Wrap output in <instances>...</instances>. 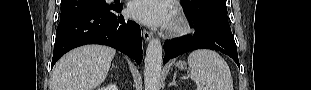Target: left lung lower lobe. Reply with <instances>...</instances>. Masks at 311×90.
I'll return each mask as SVG.
<instances>
[{
    "label": "left lung lower lobe",
    "mask_w": 311,
    "mask_h": 90,
    "mask_svg": "<svg viewBox=\"0 0 311 90\" xmlns=\"http://www.w3.org/2000/svg\"><path fill=\"white\" fill-rule=\"evenodd\" d=\"M202 48L221 51L230 56L239 66L236 44L231 30L214 24L195 26L194 35L188 39L166 41L164 43L165 57L163 63L185 52Z\"/></svg>",
    "instance_id": "1"
}]
</instances>
